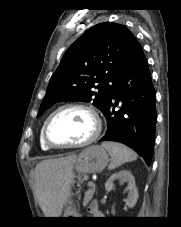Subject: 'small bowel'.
I'll return each mask as SVG.
<instances>
[{
  "instance_id": "c3829d8e",
  "label": "small bowel",
  "mask_w": 181,
  "mask_h": 227,
  "mask_svg": "<svg viewBox=\"0 0 181 227\" xmlns=\"http://www.w3.org/2000/svg\"><path fill=\"white\" fill-rule=\"evenodd\" d=\"M89 212L93 215H96L99 213V210H98V205L97 203L93 202L90 204L89 206Z\"/></svg>"
}]
</instances>
